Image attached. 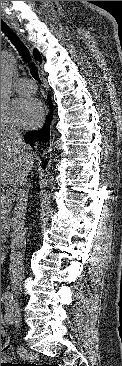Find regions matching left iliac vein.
<instances>
[{"instance_id":"4c4485c4","label":"left iliac vein","mask_w":122,"mask_h":366,"mask_svg":"<svg viewBox=\"0 0 122 366\" xmlns=\"http://www.w3.org/2000/svg\"><path fill=\"white\" fill-rule=\"evenodd\" d=\"M20 321H21L20 312H19V310H16V311H15V316H14L13 323H14L16 326H19V325H20Z\"/></svg>"}]
</instances>
